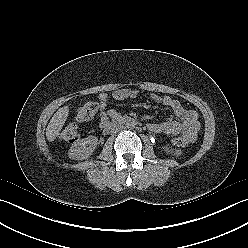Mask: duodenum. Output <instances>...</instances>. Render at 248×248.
I'll return each instance as SVG.
<instances>
[{"instance_id": "duodenum-1", "label": "duodenum", "mask_w": 248, "mask_h": 248, "mask_svg": "<svg viewBox=\"0 0 248 248\" xmlns=\"http://www.w3.org/2000/svg\"><path fill=\"white\" fill-rule=\"evenodd\" d=\"M131 119L129 117H118L115 118V120L112 123H108L105 126V132L111 131L116 125L118 124H125L126 122L130 121Z\"/></svg>"}]
</instances>
